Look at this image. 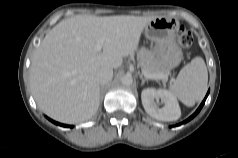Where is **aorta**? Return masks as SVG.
Instances as JSON below:
<instances>
[{
  "label": "aorta",
  "instance_id": "762f6f07",
  "mask_svg": "<svg viewBox=\"0 0 238 158\" xmlns=\"http://www.w3.org/2000/svg\"><path fill=\"white\" fill-rule=\"evenodd\" d=\"M121 83L125 86H130L133 83V78L131 75L126 74L121 77Z\"/></svg>",
  "mask_w": 238,
  "mask_h": 158
}]
</instances>
